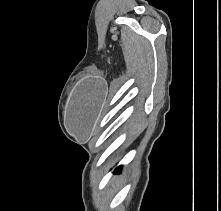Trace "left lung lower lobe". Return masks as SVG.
<instances>
[{
    "mask_svg": "<svg viewBox=\"0 0 221 211\" xmlns=\"http://www.w3.org/2000/svg\"><path fill=\"white\" fill-rule=\"evenodd\" d=\"M119 170H121V166L116 168L115 172H118Z\"/></svg>",
    "mask_w": 221,
    "mask_h": 211,
    "instance_id": "0a47b994",
    "label": "left lung lower lobe"
}]
</instances>
